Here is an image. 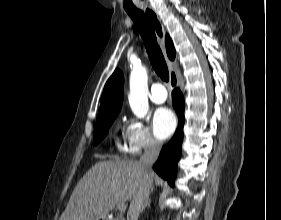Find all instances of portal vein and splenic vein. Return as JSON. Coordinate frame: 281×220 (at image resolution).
<instances>
[{
  "instance_id": "obj_1",
  "label": "portal vein and splenic vein",
  "mask_w": 281,
  "mask_h": 220,
  "mask_svg": "<svg viewBox=\"0 0 281 220\" xmlns=\"http://www.w3.org/2000/svg\"><path fill=\"white\" fill-rule=\"evenodd\" d=\"M125 209H126V205L124 203L119 205V210L120 211H125Z\"/></svg>"
}]
</instances>
